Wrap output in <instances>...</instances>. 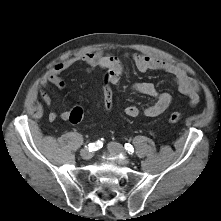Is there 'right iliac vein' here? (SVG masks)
Masks as SVG:
<instances>
[{
  "mask_svg": "<svg viewBox=\"0 0 221 221\" xmlns=\"http://www.w3.org/2000/svg\"><path fill=\"white\" fill-rule=\"evenodd\" d=\"M80 154L81 157L85 160H89L92 157V152L89 151L88 149H82Z\"/></svg>",
  "mask_w": 221,
  "mask_h": 221,
  "instance_id": "obj_1",
  "label": "right iliac vein"
}]
</instances>
